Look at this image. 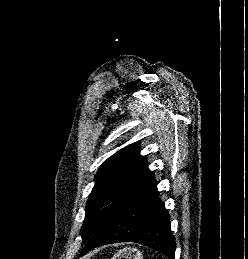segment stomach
I'll return each instance as SVG.
<instances>
[{
	"instance_id": "1",
	"label": "stomach",
	"mask_w": 248,
	"mask_h": 259,
	"mask_svg": "<svg viewBox=\"0 0 248 259\" xmlns=\"http://www.w3.org/2000/svg\"><path fill=\"white\" fill-rule=\"evenodd\" d=\"M112 259H143V255L136 248L126 247L119 250Z\"/></svg>"
}]
</instances>
